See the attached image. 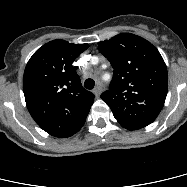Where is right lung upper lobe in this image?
Here are the masks:
<instances>
[{"label": "right lung upper lobe", "mask_w": 187, "mask_h": 187, "mask_svg": "<svg viewBox=\"0 0 187 187\" xmlns=\"http://www.w3.org/2000/svg\"><path fill=\"white\" fill-rule=\"evenodd\" d=\"M88 44L53 40L39 48L28 61L23 77L27 108L47 133L67 138L86 121L94 94L81 86L72 63Z\"/></svg>", "instance_id": "cb5924a9"}]
</instances>
